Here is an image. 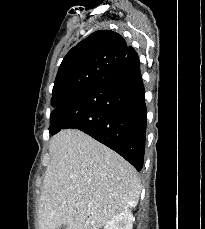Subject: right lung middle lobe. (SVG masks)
<instances>
[{"label": "right lung middle lobe", "instance_id": "obj_1", "mask_svg": "<svg viewBox=\"0 0 205 229\" xmlns=\"http://www.w3.org/2000/svg\"><path fill=\"white\" fill-rule=\"evenodd\" d=\"M73 97H74V96H73ZM71 98H72V97H71ZM71 98L63 99L60 106L64 105V104H65L66 102H68ZM53 107L56 108V107H59V106H53Z\"/></svg>", "mask_w": 205, "mask_h": 229}]
</instances>
